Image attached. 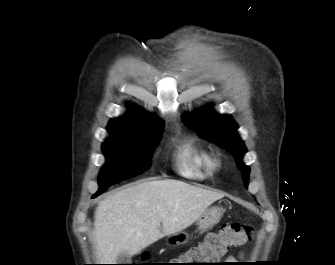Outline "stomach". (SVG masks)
<instances>
[{
	"instance_id": "obj_1",
	"label": "stomach",
	"mask_w": 335,
	"mask_h": 265,
	"mask_svg": "<svg viewBox=\"0 0 335 265\" xmlns=\"http://www.w3.org/2000/svg\"><path fill=\"white\" fill-rule=\"evenodd\" d=\"M224 210L219 206H212L206 209L198 218L196 225L201 231H206L219 223L223 216ZM188 235L185 232H177L167 237V244L169 246H176L183 244L187 241Z\"/></svg>"
}]
</instances>
